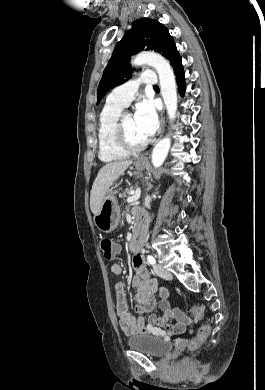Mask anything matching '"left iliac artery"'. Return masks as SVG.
<instances>
[{
    "label": "left iliac artery",
    "mask_w": 265,
    "mask_h": 390,
    "mask_svg": "<svg viewBox=\"0 0 265 390\" xmlns=\"http://www.w3.org/2000/svg\"><path fill=\"white\" fill-rule=\"evenodd\" d=\"M147 260L151 265H154L156 263L155 258L152 255L147 256Z\"/></svg>",
    "instance_id": "44dca946"
}]
</instances>
